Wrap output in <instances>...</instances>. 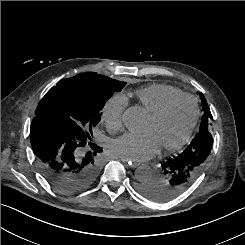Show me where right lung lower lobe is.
I'll list each match as a JSON object with an SVG mask.
<instances>
[{
    "label": "right lung lower lobe",
    "mask_w": 245,
    "mask_h": 245,
    "mask_svg": "<svg viewBox=\"0 0 245 245\" xmlns=\"http://www.w3.org/2000/svg\"><path fill=\"white\" fill-rule=\"evenodd\" d=\"M30 140L41 174L60 193L82 192L97 179L100 165L96 155L102 151L98 145L76 141L43 116L33 119Z\"/></svg>",
    "instance_id": "obj_1"
}]
</instances>
